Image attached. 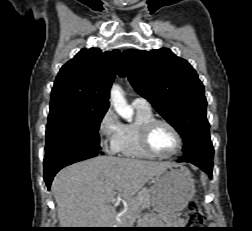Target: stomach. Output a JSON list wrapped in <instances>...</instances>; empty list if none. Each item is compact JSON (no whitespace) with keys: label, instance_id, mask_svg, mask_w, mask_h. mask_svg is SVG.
<instances>
[{"label":"stomach","instance_id":"obj_1","mask_svg":"<svg viewBox=\"0 0 252 231\" xmlns=\"http://www.w3.org/2000/svg\"><path fill=\"white\" fill-rule=\"evenodd\" d=\"M152 184V207L160 213L183 210L196 192L190 171L181 165L170 167L156 175Z\"/></svg>","mask_w":252,"mask_h":231}]
</instances>
